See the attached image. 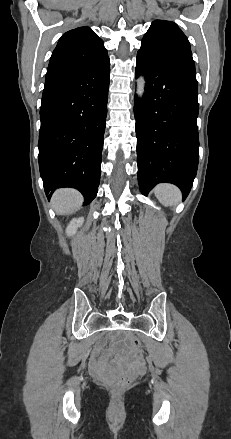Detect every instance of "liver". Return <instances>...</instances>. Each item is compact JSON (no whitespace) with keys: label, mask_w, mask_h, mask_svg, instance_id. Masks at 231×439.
Masks as SVG:
<instances>
[{"label":"liver","mask_w":231,"mask_h":439,"mask_svg":"<svg viewBox=\"0 0 231 439\" xmlns=\"http://www.w3.org/2000/svg\"><path fill=\"white\" fill-rule=\"evenodd\" d=\"M82 195L74 189L57 190L52 198V205L58 215H67L77 211L82 204Z\"/></svg>","instance_id":"liver-1"}]
</instances>
